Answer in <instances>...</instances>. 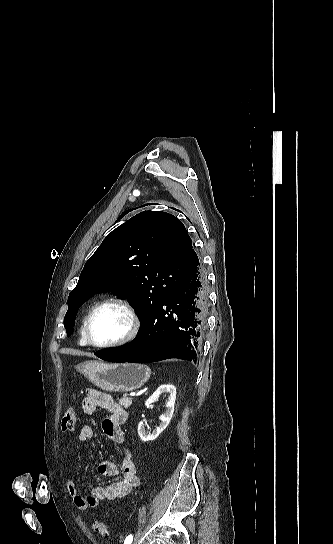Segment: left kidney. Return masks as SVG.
I'll return each mask as SVG.
<instances>
[{"mask_svg":"<svg viewBox=\"0 0 333 544\" xmlns=\"http://www.w3.org/2000/svg\"><path fill=\"white\" fill-rule=\"evenodd\" d=\"M169 394V400L166 403V411L160 416L161 423L152 432L146 430V425L141 421L138 425V435L143 442L155 440L161 432H163L170 423L173 416L174 405L176 400V388L171 384L161 385L145 402V406L149 407L154 403L161 394Z\"/></svg>","mask_w":333,"mask_h":544,"instance_id":"5707ae66","label":"left kidney"}]
</instances>
